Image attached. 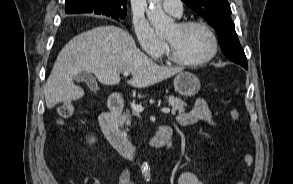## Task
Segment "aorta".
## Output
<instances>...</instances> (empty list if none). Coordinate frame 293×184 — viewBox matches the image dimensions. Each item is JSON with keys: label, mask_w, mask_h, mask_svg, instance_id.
I'll return each instance as SVG.
<instances>
[{"label": "aorta", "mask_w": 293, "mask_h": 184, "mask_svg": "<svg viewBox=\"0 0 293 184\" xmlns=\"http://www.w3.org/2000/svg\"><path fill=\"white\" fill-rule=\"evenodd\" d=\"M161 1L162 0H149L150 8L147 11V17L153 25L156 34L159 36L169 33L174 28V21L163 12ZM141 170L144 177L149 179L150 168L148 163H143Z\"/></svg>", "instance_id": "762f6f07"}]
</instances>
